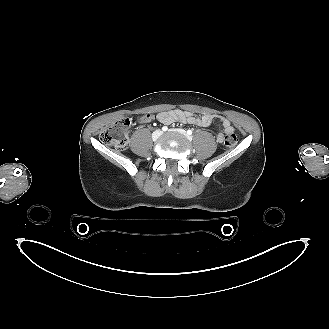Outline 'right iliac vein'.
Wrapping results in <instances>:
<instances>
[{
  "label": "right iliac vein",
  "instance_id": "right-iliac-vein-1",
  "mask_svg": "<svg viewBox=\"0 0 329 329\" xmlns=\"http://www.w3.org/2000/svg\"><path fill=\"white\" fill-rule=\"evenodd\" d=\"M162 134L161 131L157 130L153 133V140H156Z\"/></svg>",
  "mask_w": 329,
  "mask_h": 329
}]
</instances>
